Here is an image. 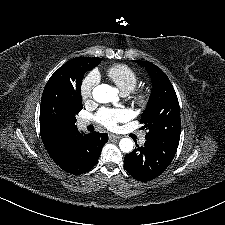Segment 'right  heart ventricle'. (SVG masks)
Returning a JSON list of instances; mask_svg holds the SVG:
<instances>
[{"label":"right heart ventricle","mask_w":225,"mask_h":225,"mask_svg":"<svg viewBox=\"0 0 225 225\" xmlns=\"http://www.w3.org/2000/svg\"><path fill=\"white\" fill-rule=\"evenodd\" d=\"M106 75L117 85L122 94L132 91L139 81L136 71L124 64L111 66L106 70Z\"/></svg>","instance_id":"1"}]
</instances>
